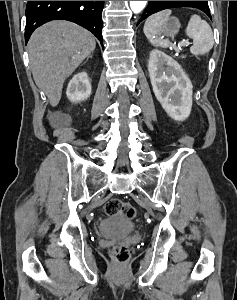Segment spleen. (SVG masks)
<instances>
[{
  "mask_svg": "<svg viewBox=\"0 0 237 300\" xmlns=\"http://www.w3.org/2000/svg\"><path fill=\"white\" fill-rule=\"evenodd\" d=\"M172 11L166 9V11H160L148 17L144 25V35L152 43L153 47H162L167 49L170 45L168 39H156L155 35H158L161 31L162 25L169 19ZM186 35L193 39V45L190 47V53L192 55H206L211 51L214 45L213 33L210 25L206 21H202L198 15H192L190 21L186 27Z\"/></svg>",
  "mask_w": 237,
  "mask_h": 300,
  "instance_id": "1",
  "label": "spleen"
}]
</instances>
